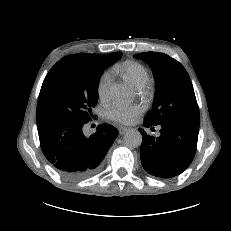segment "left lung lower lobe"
Listing matches in <instances>:
<instances>
[{
  "label": "left lung lower lobe",
  "mask_w": 231,
  "mask_h": 231,
  "mask_svg": "<svg viewBox=\"0 0 231 231\" xmlns=\"http://www.w3.org/2000/svg\"><path fill=\"white\" fill-rule=\"evenodd\" d=\"M199 124L191 121L163 123L157 138L139 129L143 137L140 149L143 168L159 178H171L185 171L196 153ZM144 125L155 126L147 121Z\"/></svg>",
  "instance_id": "0a47b994"
}]
</instances>
